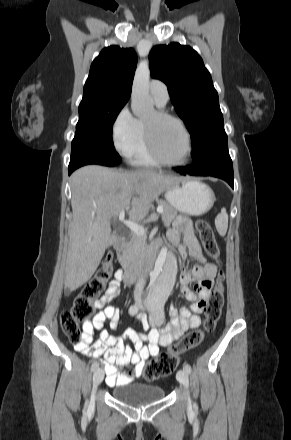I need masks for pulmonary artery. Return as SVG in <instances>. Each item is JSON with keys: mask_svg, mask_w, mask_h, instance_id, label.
I'll use <instances>...</instances> for the list:
<instances>
[{"mask_svg": "<svg viewBox=\"0 0 291 440\" xmlns=\"http://www.w3.org/2000/svg\"><path fill=\"white\" fill-rule=\"evenodd\" d=\"M150 93L159 106H164L169 100L167 86L160 80H152L150 82Z\"/></svg>", "mask_w": 291, "mask_h": 440, "instance_id": "obj_1", "label": "pulmonary artery"}]
</instances>
